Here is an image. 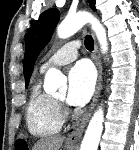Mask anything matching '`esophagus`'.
Masks as SVG:
<instances>
[{
  "mask_svg": "<svg viewBox=\"0 0 139 150\" xmlns=\"http://www.w3.org/2000/svg\"><path fill=\"white\" fill-rule=\"evenodd\" d=\"M94 38V53H93V57H94V61L95 64L97 66V70H98V79H97V86H96V91H95V95L94 98L92 100V103L89 107V110L87 111V113L84 115V117L82 118L81 122L79 123V125L75 128V130L68 136L66 143L70 144V145H74L77 144L79 142V140L82 137V134L84 132V129L88 123L89 118L91 117V114L98 102L99 96H100V92H101V88H102V65H101V60H100V54H99V48H98V44L97 41L95 39V36L93 35Z\"/></svg>",
  "mask_w": 139,
  "mask_h": 150,
  "instance_id": "obj_1",
  "label": "esophagus"
}]
</instances>
